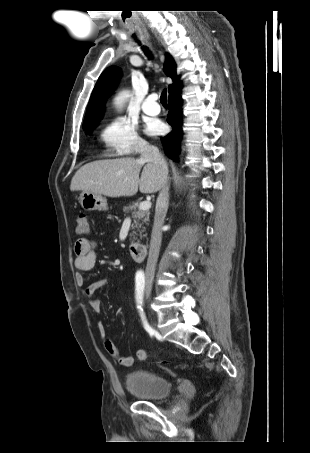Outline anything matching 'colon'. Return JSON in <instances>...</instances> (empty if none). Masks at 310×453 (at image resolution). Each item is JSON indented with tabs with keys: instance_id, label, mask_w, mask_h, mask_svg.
I'll use <instances>...</instances> for the list:
<instances>
[{
	"instance_id": "1",
	"label": "colon",
	"mask_w": 310,
	"mask_h": 453,
	"mask_svg": "<svg viewBox=\"0 0 310 453\" xmlns=\"http://www.w3.org/2000/svg\"><path fill=\"white\" fill-rule=\"evenodd\" d=\"M75 230L79 235L88 234L90 232V222L86 214L81 213L78 216Z\"/></svg>"
}]
</instances>
